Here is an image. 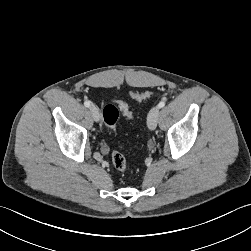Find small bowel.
I'll return each instance as SVG.
<instances>
[{"label":"small bowel","instance_id":"obj_1","mask_svg":"<svg viewBox=\"0 0 251 251\" xmlns=\"http://www.w3.org/2000/svg\"><path fill=\"white\" fill-rule=\"evenodd\" d=\"M102 152H103L104 154H106V153L108 152V148H107L106 146H103V147H102Z\"/></svg>","mask_w":251,"mask_h":251}]
</instances>
